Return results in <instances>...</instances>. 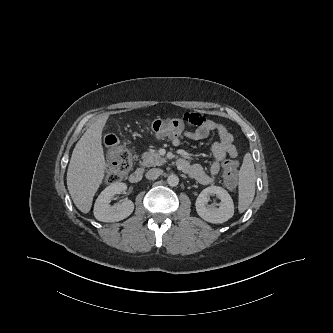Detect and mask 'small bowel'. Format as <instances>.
Instances as JSON below:
<instances>
[{
  "mask_svg": "<svg viewBox=\"0 0 333 333\" xmlns=\"http://www.w3.org/2000/svg\"><path fill=\"white\" fill-rule=\"evenodd\" d=\"M185 117H190L188 114ZM195 130H185L183 136L191 140H202L207 138L211 133L215 132L218 134L219 141L212 145L213 161L206 171L200 164H191L185 159H180L179 167L189 174L192 178L203 185L213 183L215 177L220 173L224 160L226 157L233 159L237 158L238 152L234 145V138L231 133L228 132L226 127L220 123H217L211 119H203ZM174 146H179L181 140L179 137L172 139Z\"/></svg>",
  "mask_w": 333,
  "mask_h": 333,
  "instance_id": "obj_1",
  "label": "small bowel"
}]
</instances>
